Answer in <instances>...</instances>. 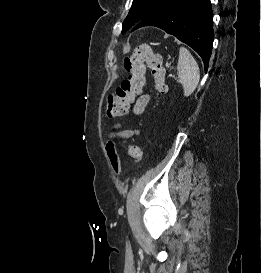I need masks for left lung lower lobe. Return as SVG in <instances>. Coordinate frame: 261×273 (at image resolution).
Returning a JSON list of instances; mask_svg holds the SVG:
<instances>
[{
  "mask_svg": "<svg viewBox=\"0 0 261 273\" xmlns=\"http://www.w3.org/2000/svg\"><path fill=\"white\" fill-rule=\"evenodd\" d=\"M212 19L210 0H170L142 19L133 30L143 26L163 29L194 49L207 71L214 39Z\"/></svg>",
  "mask_w": 261,
  "mask_h": 273,
  "instance_id": "obj_1",
  "label": "left lung lower lobe"
}]
</instances>
